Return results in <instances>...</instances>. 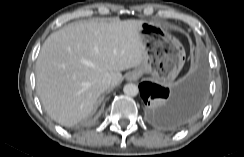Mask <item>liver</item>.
I'll list each match as a JSON object with an SVG mask.
<instances>
[{
    "instance_id": "liver-1",
    "label": "liver",
    "mask_w": 244,
    "mask_h": 157,
    "mask_svg": "<svg viewBox=\"0 0 244 157\" xmlns=\"http://www.w3.org/2000/svg\"><path fill=\"white\" fill-rule=\"evenodd\" d=\"M142 20L70 23L43 43L36 61V89L49 116L73 126L89 116L98 98L122 81L121 71L138 67L145 47ZM106 74L112 76L105 84Z\"/></svg>"
}]
</instances>
